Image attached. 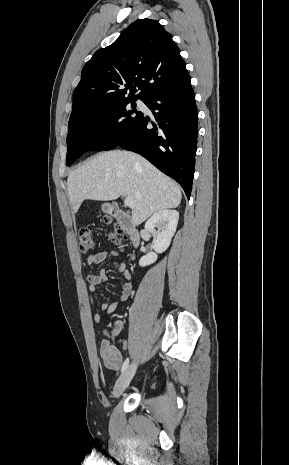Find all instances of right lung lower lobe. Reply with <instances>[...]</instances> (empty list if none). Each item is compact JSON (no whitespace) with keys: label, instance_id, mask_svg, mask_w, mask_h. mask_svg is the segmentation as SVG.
<instances>
[{"label":"right lung lower lobe","instance_id":"obj_1","mask_svg":"<svg viewBox=\"0 0 289 465\" xmlns=\"http://www.w3.org/2000/svg\"><path fill=\"white\" fill-rule=\"evenodd\" d=\"M155 120L142 115L117 144L136 152L176 180L190 198L197 149L198 116L190 81L143 100Z\"/></svg>","mask_w":289,"mask_h":465}]
</instances>
